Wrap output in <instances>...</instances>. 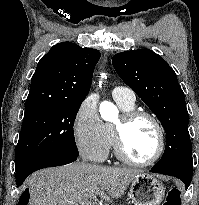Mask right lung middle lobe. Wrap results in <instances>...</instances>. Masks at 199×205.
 I'll list each match as a JSON object with an SVG mask.
<instances>
[{"label": "right lung middle lobe", "mask_w": 199, "mask_h": 205, "mask_svg": "<svg viewBox=\"0 0 199 205\" xmlns=\"http://www.w3.org/2000/svg\"><path fill=\"white\" fill-rule=\"evenodd\" d=\"M81 104L55 103L25 112L16 148L15 171L48 155H79L73 126Z\"/></svg>", "instance_id": "right-lung-middle-lobe-1"}]
</instances>
